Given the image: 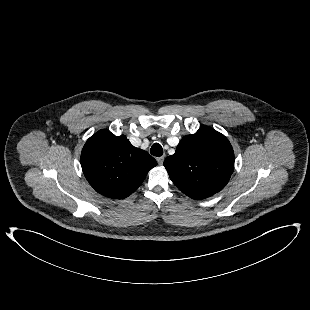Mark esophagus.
<instances>
[{
	"mask_svg": "<svg viewBox=\"0 0 310 310\" xmlns=\"http://www.w3.org/2000/svg\"><path fill=\"white\" fill-rule=\"evenodd\" d=\"M163 161H164V157L163 156L157 157V162H158L159 165H162Z\"/></svg>",
	"mask_w": 310,
	"mask_h": 310,
	"instance_id": "obj_1",
	"label": "esophagus"
}]
</instances>
